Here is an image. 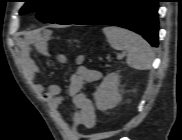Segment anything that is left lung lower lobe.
<instances>
[{"label":"left lung lower lobe","mask_w":182,"mask_h":140,"mask_svg":"<svg viewBox=\"0 0 182 140\" xmlns=\"http://www.w3.org/2000/svg\"><path fill=\"white\" fill-rule=\"evenodd\" d=\"M159 0H101L90 12L71 24L115 25L141 34L158 46Z\"/></svg>","instance_id":"1"}]
</instances>
